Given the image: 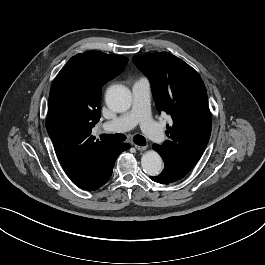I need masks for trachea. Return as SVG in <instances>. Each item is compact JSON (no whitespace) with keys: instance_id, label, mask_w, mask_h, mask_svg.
Wrapping results in <instances>:
<instances>
[{"instance_id":"3493384b","label":"trachea","mask_w":265,"mask_h":265,"mask_svg":"<svg viewBox=\"0 0 265 265\" xmlns=\"http://www.w3.org/2000/svg\"><path fill=\"white\" fill-rule=\"evenodd\" d=\"M101 140L107 141V142H122L126 140V136L123 134H101L100 135ZM134 142L137 145L143 146L146 144V139L141 135H135L133 137Z\"/></svg>"}]
</instances>
